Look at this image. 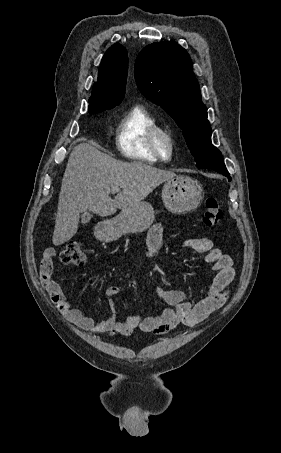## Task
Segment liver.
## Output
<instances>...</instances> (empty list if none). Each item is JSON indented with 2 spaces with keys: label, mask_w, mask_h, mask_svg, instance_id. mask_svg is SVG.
<instances>
[{
  "label": "liver",
  "mask_w": 281,
  "mask_h": 453,
  "mask_svg": "<svg viewBox=\"0 0 281 453\" xmlns=\"http://www.w3.org/2000/svg\"><path fill=\"white\" fill-rule=\"evenodd\" d=\"M177 176L145 162H123L92 144L74 146L68 158L59 192L53 245H63L78 231L80 212L91 210L110 216L117 208H130L141 202L164 180ZM113 186L123 188L115 198Z\"/></svg>",
  "instance_id": "liver-1"
}]
</instances>
